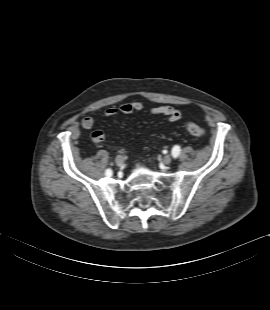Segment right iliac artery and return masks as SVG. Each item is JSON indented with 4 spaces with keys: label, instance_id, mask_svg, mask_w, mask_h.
<instances>
[{
    "label": "right iliac artery",
    "instance_id": "1",
    "mask_svg": "<svg viewBox=\"0 0 270 310\" xmlns=\"http://www.w3.org/2000/svg\"><path fill=\"white\" fill-rule=\"evenodd\" d=\"M106 175L111 176L112 175V170L111 169H107L106 170Z\"/></svg>",
    "mask_w": 270,
    "mask_h": 310
}]
</instances>
